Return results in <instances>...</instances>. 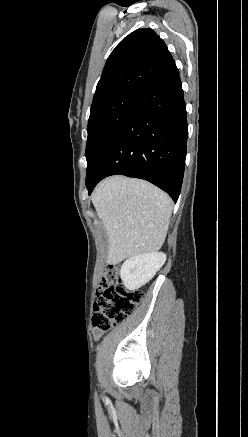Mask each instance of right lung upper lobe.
<instances>
[{"mask_svg": "<svg viewBox=\"0 0 248 437\" xmlns=\"http://www.w3.org/2000/svg\"><path fill=\"white\" fill-rule=\"evenodd\" d=\"M173 61L151 29L127 35L112 51L97 84L90 111L126 92H140Z\"/></svg>", "mask_w": 248, "mask_h": 437, "instance_id": "right-lung-upper-lobe-1", "label": "right lung upper lobe"}]
</instances>
